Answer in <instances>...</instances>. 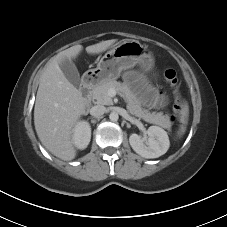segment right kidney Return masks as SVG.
Segmentation results:
<instances>
[{
    "label": "right kidney",
    "mask_w": 227,
    "mask_h": 227,
    "mask_svg": "<svg viewBox=\"0 0 227 227\" xmlns=\"http://www.w3.org/2000/svg\"><path fill=\"white\" fill-rule=\"evenodd\" d=\"M73 142L78 149H85L91 139V127L87 121H80L73 130Z\"/></svg>",
    "instance_id": "obj_1"
}]
</instances>
